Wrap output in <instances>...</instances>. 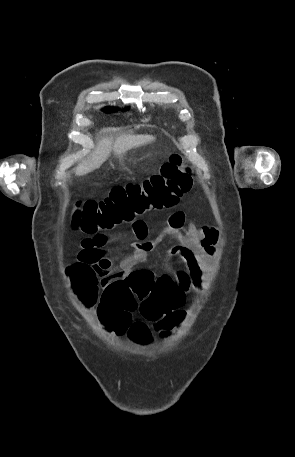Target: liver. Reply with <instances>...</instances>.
Returning <instances> with one entry per match:
<instances>
[{
	"mask_svg": "<svg viewBox=\"0 0 295 457\" xmlns=\"http://www.w3.org/2000/svg\"><path fill=\"white\" fill-rule=\"evenodd\" d=\"M155 140L152 135H122L115 141L103 138L96 144L93 152L75 167L77 176L86 175L98 169L109 157L111 151L120 156L128 150L147 145Z\"/></svg>",
	"mask_w": 295,
	"mask_h": 457,
	"instance_id": "obj_1",
	"label": "liver"
}]
</instances>
